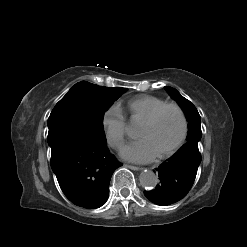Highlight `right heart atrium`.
<instances>
[{"label":"right heart atrium","instance_id":"d8ad5b80","mask_svg":"<svg viewBox=\"0 0 247 247\" xmlns=\"http://www.w3.org/2000/svg\"><path fill=\"white\" fill-rule=\"evenodd\" d=\"M102 128L108 145L119 148L127 133V122L117 105L110 106L102 116Z\"/></svg>","mask_w":247,"mask_h":247}]
</instances>
